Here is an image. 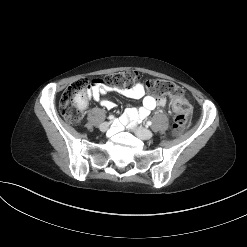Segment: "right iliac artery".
Returning a JSON list of instances; mask_svg holds the SVG:
<instances>
[{
    "label": "right iliac artery",
    "mask_w": 247,
    "mask_h": 247,
    "mask_svg": "<svg viewBox=\"0 0 247 247\" xmlns=\"http://www.w3.org/2000/svg\"><path fill=\"white\" fill-rule=\"evenodd\" d=\"M108 118H109L110 120H114V119H115V117H114L113 115H110Z\"/></svg>",
    "instance_id": "1"
}]
</instances>
